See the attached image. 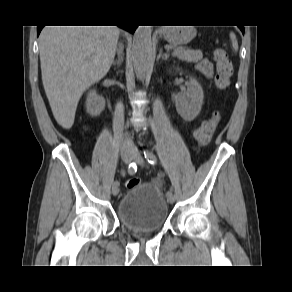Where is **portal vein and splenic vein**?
I'll return each instance as SVG.
<instances>
[{"mask_svg":"<svg viewBox=\"0 0 292 292\" xmlns=\"http://www.w3.org/2000/svg\"><path fill=\"white\" fill-rule=\"evenodd\" d=\"M176 53H177V52H176V51H174L172 54H173V55H176Z\"/></svg>","mask_w":292,"mask_h":292,"instance_id":"obj_1","label":"portal vein and splenic vein"}]
</instances>
